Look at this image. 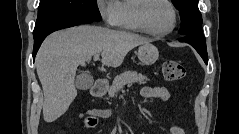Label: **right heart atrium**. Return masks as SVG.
I'll return each mask as SVG.
<instances>
[{
    "instance_id": "d8ad5b80",
    "label": "right heart atrium",
    "mask_w": 239,
    "mask_h": 134,
    "mask_svg": "<svg viewBox=\"0 0 239 134\" xmlns=\"http://www.w3.org/2000/svg\"><path fill=\"white\" fill-rule=\"evenodd\" d=\"M97 9L107 26H116L118 21V2L116 0H99Z\"/></svg>"
}]
</instances>
